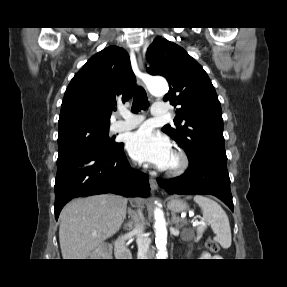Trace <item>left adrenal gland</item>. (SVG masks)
Wrapping results in <instances>:
<instances>
[{
    "label": "left adrenal gland",
    "instance_id": "a2214340",
    "mask_svg": "<svg viewBox=\"0 0 287 287\" xmlns=\"http://www.w3.org/2000/svg\"><path fill=\"white\" fill-rule=\"evenodd\" d=\"M171 222H172L173 224H175L176 227H179V226H180L179 224H183V220L180 219L179 217H177L175 213H172Z\"/></svg>",
    "mask_w": 287,
    "mask_h": 287
}]
</instances>
